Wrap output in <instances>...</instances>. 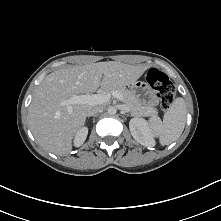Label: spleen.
<instances>
[{"label": "spleen", "mask_w": 221, "mask_h": 221, "mask_svg": "<svg viewBox=\"0 0 221 221\" xmlns=\"http://www.w3.org/2000/svg\"><path fill=\"white\" fill-rule=\"evenodd\" d=\"M186 103L183 98H177L164 114L163 121L157 116L150 119V129L153 135L159 137L162 145H169L182 134L186 123Z\"/></svg>", "instance_id": "spleen-1"}]
</instances>
